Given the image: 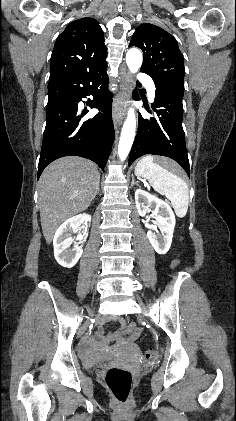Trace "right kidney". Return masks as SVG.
<instances>
[{
    "label": "right kidney",
    "instance_id": "right-kidney-1",
    "mask_svg": "<svg viewBox=\"0 0 236 421\" xmlns=\"http://www.w3.org/2000/svg\"><path fill=\"white\" fill-rule=\"evenodd\" d=\"M90 221L89 215L83 213V215H76V217L67 219L57 229L53 239L54 257L61 267L72 269L78 263L83 249L79 247L80 243H75L71 233H77L78 229H86L88 231L87 227H81V225H88L89 227ZM71 245H73V249H71Z\"/></svg>",
    "mask_w": 236,
    "mask_h": 421
}]
</instances>
